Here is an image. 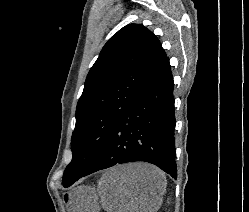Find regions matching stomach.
<instances>
[{
	"instance_id": "1",
	"label": "stomach",
	"mask_w": 249,
	"mask_h": 212,
	"mask_svg": "<svg viewBox=\"0 0 249 212\" xmlns=\"http://www.w3.org/2000/svg\"><path fill=\"white\" fill-rule=\"evenodd\" d=\"M65 196L70 212H99V196L90 186H78Z\"/></svg>"
}]
</instances>
